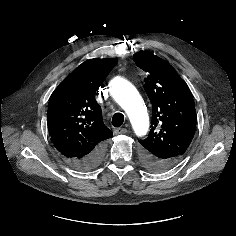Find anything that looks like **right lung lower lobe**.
I'll use <instances>...</instances> for the list:
<instances>
[{
	"mask_svg": "<svg viewBox=\"0 0 236 236\" xmlns=\"http://www.w3.org/2000/svg\"><path fill=\"white\" fill-rule=\"evenodd\" d=\"M105 142L99 144L90 154L82 158H65L67 162L79 170H91L98 167L105 154Z\"/></svg>",
	"mask_w": 236,
	"mask_h": 236,
	"instance_id": "98d812e1",
	"label": "right lung lower lobe"
}]
</instances>
